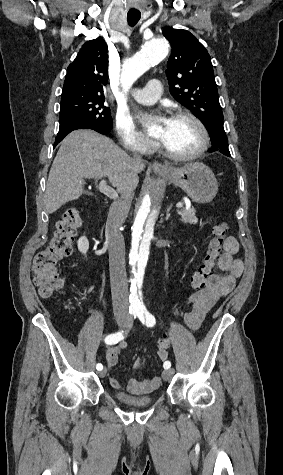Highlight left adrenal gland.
<instances>
[{
  "label": "left adrenal gland",
  "instance_id": "a2214340",
  "mask_svg": "<svg viewBox=\"0 0 283 475\" xmlns=\"http://www.w3.org/2000/svg\"><path fill=\"white\" fill-rule=\"evenodd\" d=\"M171 208H172V206H168V208H167V210H166V214H169Z\"/></svg>",
  "mask_w": 283,
  "mask_h": 475
}]
</instances>
